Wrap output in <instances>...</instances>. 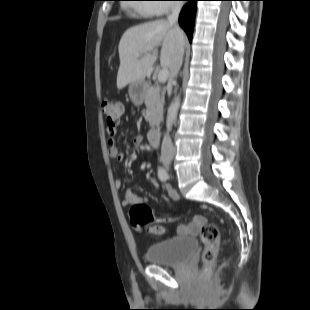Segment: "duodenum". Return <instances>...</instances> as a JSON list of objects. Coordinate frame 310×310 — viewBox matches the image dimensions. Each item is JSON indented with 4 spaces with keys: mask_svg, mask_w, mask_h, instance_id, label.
I'll use <instances>...</instances> for the list:
<instances>
[{
    "mask_svg": "<svg viewBox=\"0 0 310 310\" xmlns=\"http://www.w3.org/2000/svg\"><path fill=\"white\" fill-rule=\"evenodd\" d=\"M161 130L159 128L152 129L149 132V143L153 148L159 146Z\"/></svg>",
    "mask_w": 310,
    "mask_h": 310,
    "instance_id": "1",
    "label": "duodenum"
}]
</instances>
